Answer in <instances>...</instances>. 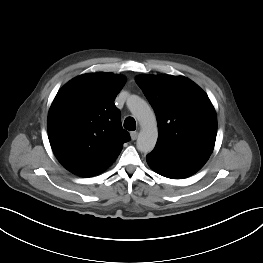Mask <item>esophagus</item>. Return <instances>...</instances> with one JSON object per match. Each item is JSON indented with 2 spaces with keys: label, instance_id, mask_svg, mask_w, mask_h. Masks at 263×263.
I'll return each instance as SVG.
<instances>
[{
  "label": "esophagus",
  "instance_id": "34e87169",
  "mask_svg": "<svg viewBox=\"0 0 263 263\" xmlns=\"http://www.w3.org/2000/svg\"><path fill=\"white\" fill-rule=\"evenodd\" d=\"M130 137L132 140H136L138 137V132L137 131H133L130 133Z\"/></svg>",
  "mask_w": 263,
  "mask_h": 263
}]
</instances>
